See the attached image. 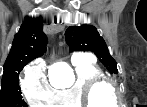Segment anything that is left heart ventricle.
Listing matches in <instances>:
<instances>
[{"label":"left heart ventricle","mask_w":147,"mask_h":107,"mask_svg":"<svg viewBox=\"0 0 147 107\" xmlns=\"http://www.w3.org/2000/svg\"><path fill=\"white\" fill-rule=\"evenodd\" d=\"M92 101L95 107H111L116 103V95L110 85L103 84L93 92Z\"/></svg>","instance_id":"1"}]
</instances>
